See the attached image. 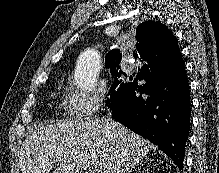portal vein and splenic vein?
I'll use <instances>...</instances> for the list:
<instances>
[{
	"instance_id": "18ae733b",
	"label": "portal vein and splenic vein",
	"mask_w": 219,
	"mask_h": 173,
	"mask_svg": "<svg viewBox=\"0 0 219 173\" xmlns=\"http://www.w3.org/2000/svg\"><path fill=\"white\" fill-rule=\"evenodd\" d=\"M89 172H90V173H94V171H92V170H90V169H89ZM86 173H88V172H86Z\"/></svg>"
}]
</instances>
